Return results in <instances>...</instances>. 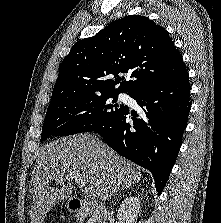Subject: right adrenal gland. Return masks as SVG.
Here are the masks:
<instances>
[{
	"instance_id": "1",
	"label": "right adrenal gland",
	"mask_w": 221,
	"mask_h": 223,
	"mask_svg": "<svg viewBox=\"0 0 221 223\" xmlns=\"http://www.w3.org/2000/svg\"><path fill=\"white\" fill-rule=\"evenodd\" d=\"M127 188H128V187H126L125 190H127ZM117 194H118V193L114 194V196L117 195Z\"/></svg>"
}]
</instances>
